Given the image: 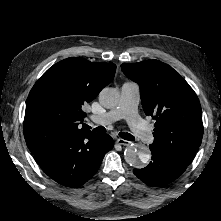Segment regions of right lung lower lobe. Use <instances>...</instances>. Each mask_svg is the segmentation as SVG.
I'll return each mask as SVG.
<instances>
[{
  "instance_id": "right-lung-lower-lobe-1",
  "label": "right lung lower lobe",
  "mask_w": 221,
  "mask_h": 221,
  "mask_svg": "<svg viewBox=\"0 0 221 221\" xmlns=\"http://www.w3.org/2000/svg\"><path fill=\"white\" fill-rule=\"evenodd\" d=\"M113 146L111 136L85 131L54 143L34 156L51 179L78 188L92 178Z\"/></svg>"
}]
</instances>
